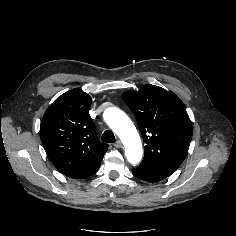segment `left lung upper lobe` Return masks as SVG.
Listing matches in <instances>:
<instances>
[{
    "mask_svg": "<svg viewBox=\"0 0 236 236\" xmlns=\"http://www.w3.org/2000/svg\"><path fill=\"white\" fill-rule=\"evenodd\" d=\"M123 99L134 113L146 146L141 164L170 176L184 161L192 139V124L183 102L154 85L128 91Z\"/></svg>",
    "mask_w": 236,
    "mask_h": 236,
    "instance_id": "obj_1",
    "label": "left lung upper lobe"
}]
</instances>
